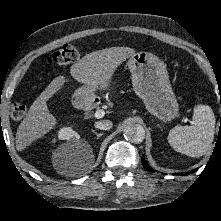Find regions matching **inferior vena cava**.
<instances>
[{"label":"inferior vena cava","mask_w":221,"mask_h":221,"mask_svg":"<svg viewBox=\"0 0 221 221\" xmlns=\"http://www.w3.org/2000/svg\"><path fill=\"white\" fill-rule=\"evenodd\" d=\"M112 122L110 120H103L95 122V128L100 130H110L112 128Z\"/></svg>","instance_id":"obj_1"}]
</instances>
